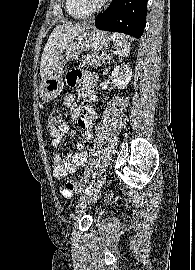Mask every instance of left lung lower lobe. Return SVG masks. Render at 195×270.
Returning <instances> with one entry per match:
<instances>
[{
    "label": "left lung lower lobe",
    "mask_w": 195,
    "mask_h": 270,
    "mask_svg": "<svg viewBox=\"0 0 195 270\" xmlns=\"http://www.w3.org/2000/svg\"><path fill=\"white\" fill-rule=\"evenodd\" d=\"M147 15V0H113L95 20L100 30L121 32L140 38Z\"/></svg>",
    "instance_id": "0a47b994"
}]
</instances>
